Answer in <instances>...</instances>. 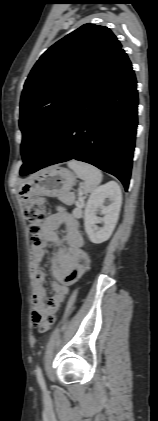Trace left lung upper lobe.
Listing matches in <instances>:
<instances>
[{
    "mask_svg": "<svg viewBox=\"0 0 158 421\" xmlns=\"http://www.w3.org/2000/svg\"><path fill=\"white\" fill-rule=\"evenodd\" d=\"M120 49L109 28L84 24L40 57L21 95L20 173L36 166L68 109Z\"/></svg>",
    "mask_w": 158,
    "mask_h": 421,
    "instance_id": "left-lung-upper-lobe-1",
    "label": "left lung upper lobe"
}]
</instances>
